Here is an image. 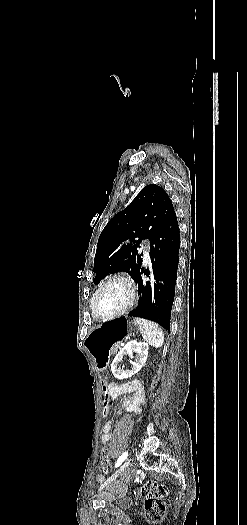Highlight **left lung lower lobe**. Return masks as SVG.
Here are the masks:
<instances>
[{"label": "left lung lower lobe", "instance_id": "left-lung-lower-lobe-1", "mask_svg": "<svg viewBox=\"0 0 247 525\" xmlns=\"http://www.w3.org/2000/svg\"><path fill=\"white\" fill-rule=\"evenodd\" d=\"M150 247L152 269L149 272L141 268L134 279L138 283L139 303L129 316L155 321L169 330L180 248L176 213L155 232ZM143 273L151 281L143 283Z\"/></svg>", "mask_w": 247, "mask_h": 525}]
</instances>
